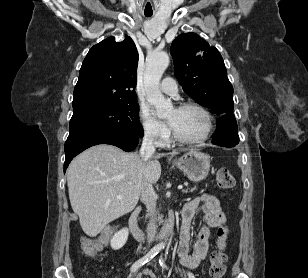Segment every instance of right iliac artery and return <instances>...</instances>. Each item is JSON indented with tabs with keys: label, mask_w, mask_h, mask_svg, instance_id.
<instances>
[{
	"label": "right iliac artery",
	"mask_w": 308,
	"mask_h": 278,
	"mask_svg": "<svg viewBox=\"0 0 308 278\" xmlns=\"http://www.w3.org/2000/svg\"><path fill=\"white\" fill-rule=\"evenodd\" d=\"M161 250V247L156 246L153 247L145 256L137 260L132 266H131V272H136L139 268H141L144 264L149 262L154 256H156L159 251Z\"/></svg>",
	"instance_id": "obj_1"
}]
</instances>
